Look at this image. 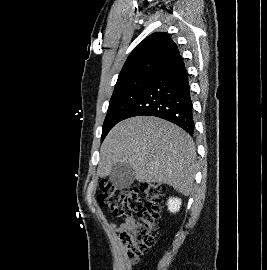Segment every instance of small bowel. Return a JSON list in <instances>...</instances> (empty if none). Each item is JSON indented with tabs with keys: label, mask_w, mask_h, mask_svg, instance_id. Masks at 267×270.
<instances>
[{
	"label": "small bowel",
	"mask_w": 267,
	"mask_h": 270,
	"mask_svg": "<svg viewBox=\"0 0 267 270\" xmlns=\"http://www.w3.org/2000/svg\"><path fill=\"white\" fill-rule=\"evenodd\" d=\"M134 221L132 216H126L123 218V222L118 226L115 223L111 224L112 229L116 231H122L126 227H128Z\"/></svg>",
	"instance_id": "obj_1"
}]
</instances>
